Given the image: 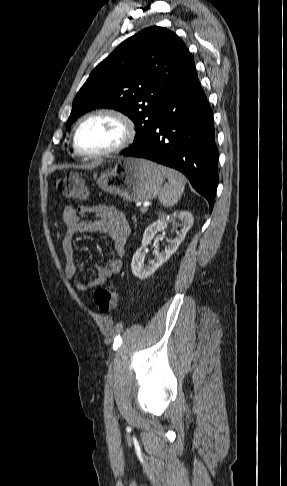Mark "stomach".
Masks as SVG:
<instances>
[{
    "instance_id": "stomach-1",
    "label": "stomach",
    "mask_w": 287,
    "mask_h": 486,
    "mask_svg": "<svg viewBox=\"0 0 287 486\" xmlns=\"http://www.w3.org/2000/svg\"><path fill=\"white\" fill-rule=\"evenodd\" d=\"M164 174L149 160L126 157L115 160L114 167L101 173L99 188L131 202L155 198L162 189Z\"/></svg>"
}]
</instances>
